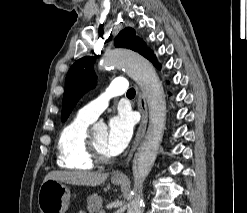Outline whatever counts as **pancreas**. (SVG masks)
I'll return each mask as SVG.
<instances>
[{"label": "pancreas", "instance_id": "1", "mask_svg": "<svg viewBox=\"0 0 247 213\" xmlns=\"http://www.w3.org/2000/svg\"><path fill=\"white\" fill-rule=\"evenodd\" d=\"M102 198L97 194H92L87 198V210L89 213H102Z\"/></svg>", "mask_w": 247, "mask_h": 213}]
</instances>
